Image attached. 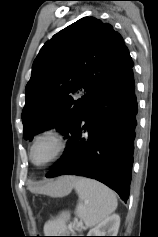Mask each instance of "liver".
Instances as JSON below:
<instances>
[{"instance_id":"1","label":"liver","mask_w":158,"mask_h":237,"mask_svg":"<svg viewBox=\"0 0 158 237\" xmlns=\"http://www.w3.org/2000/svg\"><path fill=\"white\" fill-rule=\"evenodd\" d=\"M76 179L77 178L74 177V176L61 177L53 183H49V184H46L44 186H37V187L33 188V191L36 192V193H41V194H47V195L54 196V194L57 192V190H59L63 186H66L68 184H73L74 185Z\"/></svg>"}]
</instances>
